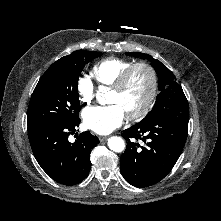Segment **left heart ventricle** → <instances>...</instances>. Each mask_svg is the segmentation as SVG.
I'll return each mask as SVG.
<instances>
[{
  "label": "left heart ventricle",
  "mask_w": 221,
  "mask_h": 221,
  "mask_svg": "<svg viewBox=\"0 0 221 221\" xmlns=\"http://www.w3.org/2000/svg\"><path fill=\"white\" fill-rule=\"evenodd\" d=\"M150 81L146 71L137 69L132 74L125 90L118 93L111 91L110 103L119 104L126 114L139 110L149 93Z\"/></svg>",
  "instance_id": "obj_1"
}]
</instances>
